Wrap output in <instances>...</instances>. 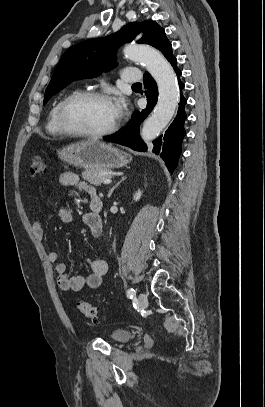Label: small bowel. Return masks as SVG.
Here are the masks:
<instances>
[{"instance_id":"small-bowel-1","label":"small bowel","mask_w":265,"mask_h":407,"mask_svg":"<svg viewBox=\"0 0 265 407\" xmlns=\"http://www.w3.org/2000/svg\"><path fill=\"white\" fill-rule=\"evenodd\" d=\"M59 187L66 189L69 187H79L86 189L91 195V201L97 198L92 188L79 180V177L73 172H64L58 178ZM57 217L63 223H69L73 219L72 210L67 206H60L57 210ZM84 222L88 226L94 237H99L102 233V222L100 216L95 213L90 204L89 211L84 215ZM33 233L39 239H44V229L41 222L35 219L32 224ZM49 260L53 263L57 272V283L63 291H80L85 287L97 288L101 285L103 276L107 272V263L100 258H88L85 261L89 272L86 275H70L68 268L61 261L60 254L57 251L49 252Z\"/></svg>"}]
</instances>
